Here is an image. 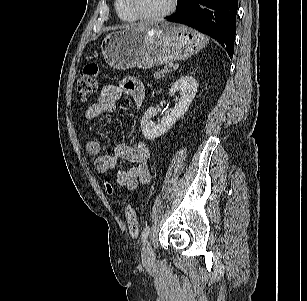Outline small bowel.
Wrapping results in <instances>:
<instances>
[{
    "label": "small bowel",
    "mask_w": 307,
    "mask_h": 301,
    "mask_svg": "<svg viewBox=\"0 0 307 301\" xmlns=\"http://www.w3.org/2000/svg\"><path fill=\"white\" fill-rule=\"evenodd\" d=\"M145 94L143 83L137 78H126L120 85H106L102 88L97 102L88 107L85 118L89 121L104 113L116 111L118 101L124 96L132 99L136 106H140ZM87 151L93 157L95 170L100 174H108L117 167L119 160L133 163L127 169H119L116 181L120 187L133 190L139 184H146L150 180L149 158L150 148L143 141L132 144H118L112 154H103L99 141L91 140L87 144Z\"/></svg>",
    "instance_id": "small-bowel-1"
}]
</instances>
